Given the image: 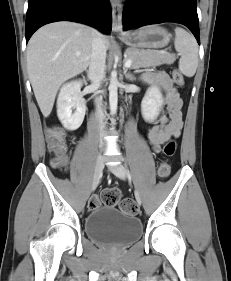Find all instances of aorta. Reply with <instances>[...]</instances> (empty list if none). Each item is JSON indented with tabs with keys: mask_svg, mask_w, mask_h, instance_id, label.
<instances>
[{
	"mask_svg": "<svg viewBox=\"0 0 231 281\" xmlns=\"http://www.w3.org/2000/svg\"><path fill=\"white\" fill-rule=\"evenodd\" d=\"M117 104H118V80H117V72L112 71L110 77V85H109V105L111 115H115L117 112Z\"/></svg>",
	"mask_w": 231,
	"mask_h": 281,
	"instance_id": "aorta-1",
	"label": "aorta"
}]
</instances>
